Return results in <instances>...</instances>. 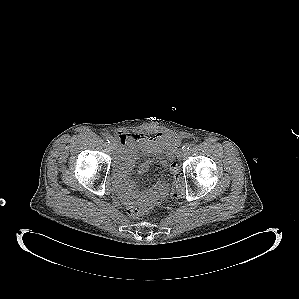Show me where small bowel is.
<instances>
[{
	"label": "small bowel",
	"instance_id": "small-bowel-1",
	"mask_svg": "<svg viewBox=\"0 0 299 299\" xmlns=\"http://www.w3.org/2000/svg\"><path fill=\"white\" fill-rule=\"evenodd\" d=\"M118 139L123 148L118 156L117 181L123 196L127 199L132 198L134 195V184L128 180V176L136 161L138 152L147 157L161 155L156 161L147 159L139 165L137 172L144 174L155 162L164 167L170 165L173 161L176 148L180 143V139L177 136L162 133L149 135L119 132ZM167 191L168 184L165 181H159L144 195V198L150 201H157L164 197Z\"/></svg>",
	"mask_w": 299,
	"mask_h": 299
}]
</instances>
